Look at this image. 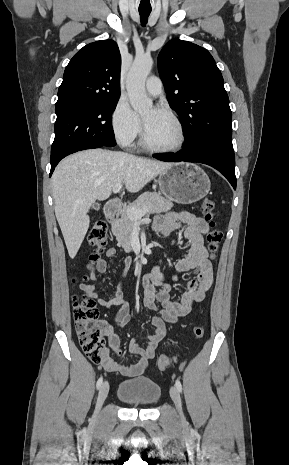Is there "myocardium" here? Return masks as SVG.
<instances>
[{"instance_id": "myocardium-1", "label": "myocardium", "mask_w": 289, "mask_h": 465, "mask_svg": "<svg viewBox=\"0 0 289 465\" xmlns=\"http://www.w3.org/2000/svg\"><path fill=\"white\" fill-rule=\"evenodd\" d=\"M158 110L168 115L172 119V121L175 123L177 130H178V134H179L178 142L174 146L166 147V148L154 146L149 143L147 136H146L145 128L143 126L142 136H141V144L143 148L149 152L158 153V154L174 153V152L181 150L186 142V132H185V128H184L182 121L180 120L178 115L172 109L168 107H160Z\"/></svg>"}]
</instances>
